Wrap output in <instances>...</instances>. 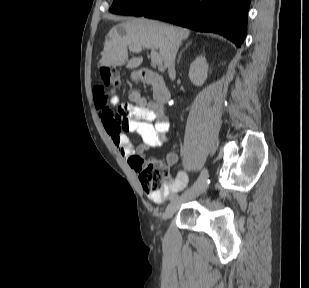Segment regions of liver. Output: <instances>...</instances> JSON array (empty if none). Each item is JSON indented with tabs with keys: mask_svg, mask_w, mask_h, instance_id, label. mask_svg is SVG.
Wrapping results in <instances>:
<instances>
[{
	"mask_svg": "<svg viewBox=\"0 0 309 288\" xmlns=\"http://www.w3.org/2000/svg\"><path fill=\"white\" fill-rule=\"evenodd\" d=\"M190 35L184 28L161 24L156 21L138 18L126 20L113 27L105 38L100 66H121L134 69L139 67L142 57L128 59V47L159 49L165 67H168V57L174 43L181 44Z\"/></svg>",
	"mask_w": 309,
	"mask_h": 288,
	"instance_id": "1",
	"label": "liver"
}]
</instances>
